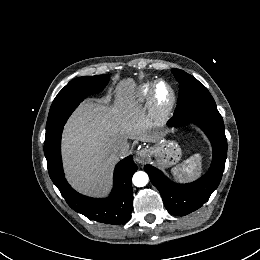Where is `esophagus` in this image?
I'll use <instances>...</instances> for the list:
<instances>
[{"label":"esophagus","mask_w":260,"mask_h":260,"mask_svg":"<svg viewBox=\"0 0 260 260\" xmlns=\"http://www.w3.org/2000/svg\"><path fill=\"white\" fill-rule=\"evenodd\" d=\"M148 156H149V150L146 148L141 149L136 153L135 160L138 163L142 164L147 160Z\"/></svg>","instance_id":"1"}]
</instances>
